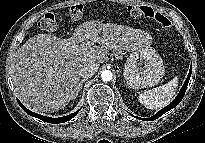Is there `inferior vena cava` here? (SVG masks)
<instances>
[{"mask_svg": "<svg viewBox=\"0 0 205 143\" xmlns=\"http://www.w3.org/2000/svg\"><path fill=\"white\" fill-rule=\"evenodd\" d=\"M99 64L97 63H89L85 67L81 69V77L83 78H91L98 70Z\"/></svg>", "mask_w": 205, "mask_h": 143, "instance_id": "1", "label": "inferior vena cava"}]
</instances>
